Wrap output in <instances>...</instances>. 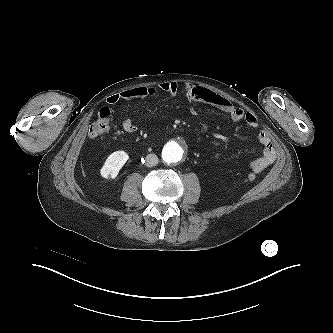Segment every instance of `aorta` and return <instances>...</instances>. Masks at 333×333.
Segmentation results:
<instances>
[{
  "instance_id": "obj_1",
  "label": "aorta",
  "mask_w": 333,
  "mask_h": 333,
  "mask_svg": "<svg viewBox=\"0 0 333 333\" xmlns=\"http://www.w3.org/2000/svg\"><path fill=\"white\" fill-rule=\"evenodd\" d=\"M184 147L180 143L166 144L162 151V159L166 163H176L183 157Z\"/></svg>"
}]
</instances>
